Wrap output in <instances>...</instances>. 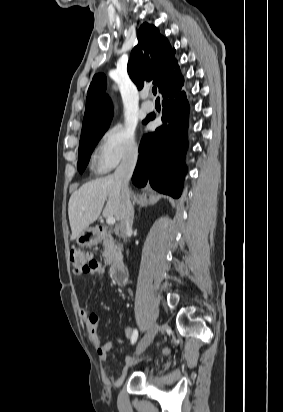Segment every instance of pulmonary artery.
<instances>
[{
  "label": "pulmonary artery",
  "mask_w": 283,
  "mask_h": 412,
  "mask_svg": "<svg viewBox=\"0 0 283 412\" xmlns=\"http://www.w3.org/2000/svg\"><path fill=\"white\" fill-rule=\"evenodd\" d=\"M147 97H148V96H147L146 94L143 95V99H147ZM153 109H154V105L151 104L148 100H145V101L143 102V104H142V110H143L144 112H151Z\"/></svg>",
  "instance_id": "obj_1"
}]
</instances>
